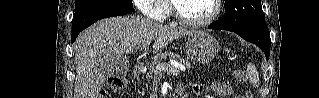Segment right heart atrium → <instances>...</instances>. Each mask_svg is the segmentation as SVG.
Instances as JSON below:
<instances>
[{
	"mask_svg": "<svg viewBox=\"0 0 319 98\" xmlns=\"http://www.w3.org/2000/svg\"><path fill=\"white\" fill-rule=\"evenodd\" d=\"M137 8L147 17L161 20L167 15V7L162 0H135Z\"/></svg>",
	"mask_w": 319,
	"mask_h": 98,
	"instance_id": "d8ad5b80",
	"label": "right heart atrium"
}]
</instances>
